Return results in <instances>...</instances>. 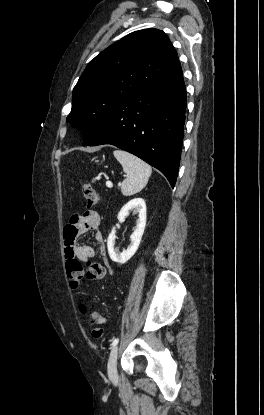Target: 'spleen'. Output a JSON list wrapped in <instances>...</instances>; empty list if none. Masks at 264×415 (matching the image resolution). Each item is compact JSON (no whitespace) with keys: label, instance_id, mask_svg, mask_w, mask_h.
I'll return each mask as SVG.
<instances>
[{"label":"spleen","instance_id":"1","mask_svg":"<svg viewBox=\"0 0 264 415\" xmlns=\"http://www.w3.org/2000/svg\"><path fill=\"white\" fill-rule=\"evenodd\" d=\"M127 174L121 185L124 196H131L140 192L147 184L152 173L151 167L138 157L122 150L113 152Z\"/></svg>","mask_w":264,"mask_h":415}]
</instances>
